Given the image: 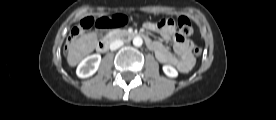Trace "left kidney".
I'll return each instance as SVG.
<instances>
[{
	"instance_id": "1",
	"label": "left kidney",
	"mask_w": 276,
	"mask_h": 120,
	"mask_svg": "<svg viewBox=\"0 0 276 120\" xmlns=\"http://www.w3.org/2000/svg\"><path fill=\"white\" fill-rule=\"evenodd\" d=\"M163 71L168 77L173 78V77H176L178 75L177 70L174 67L170 66V65H164L163 66Z\"/></svg>"
}]
</instances>
